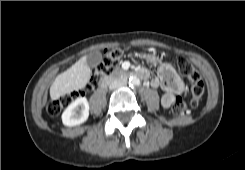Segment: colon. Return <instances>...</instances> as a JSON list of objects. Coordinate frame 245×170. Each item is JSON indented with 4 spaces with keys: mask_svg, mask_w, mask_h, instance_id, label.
Returning a JSON list of instances; mask_svg holds the SVG:
<instances>
[{
    "mask_svg": "<svg viewBox=\"0 0 245 170\" xmlns=\"http://www.w3.org/2000/svg\"><path fill=\"white\" fill-rule=\"evenodd\" d=\"M121 53L119 50H110L104 54L102 63L98 66V73L95 74L90 82V86H97L101 81V76L109 74L113 67L117 64ZM179 71L187 77L191 82V101L192 107H196L200 98L204 94L205 86L201 74L196 70L190 60L180 57L177 61ZM82 91H73L60 97L58 100L52 101L47 106V112L51 116H57L63 108L68 106L76 99L83 96ZM186 108V104L181 96H177L173 103V112L180 115Z\"/></svg>",
    "mask_w": 245,
    "mask_h": 170,
    "instance_id": "colon-1",
    "label": "colon"
}]
</instances>
